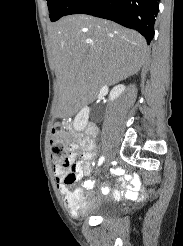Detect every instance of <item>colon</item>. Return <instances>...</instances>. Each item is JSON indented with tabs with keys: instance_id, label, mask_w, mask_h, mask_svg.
Masks as SVG:
<instances>
[{
	"instance_id": "5ec220e1",
	"label": "colon",
	"mask_w": 183,
	"mask_h": 246,
	"mask_svg": "<svg viewBox=\"0 0 183 246\" xmlns=\"http://www.w3.org/2000/svg\"><path fill=\"white\" fill-rule=\"evenodd\" d=\"M50 153L51 158L56 165L65 166V164H69L68 146L64 140L63 127L61 125H56L52 130ZM65 182L72 185L75 182V178H65ZM71 206L77 210H87V206L80 197L74 199Z\"/></svg>"
}]
</instances>
